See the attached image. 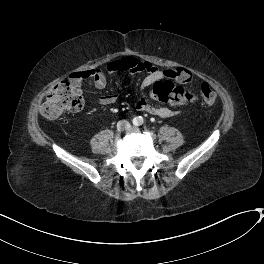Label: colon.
<instances>
[{
    "instance_id": "obj_1",
    "label": "colon",
    "mask_w": 264,
    "mask_h": 264,
    "mask_svg": "<svg viewBox=\"0 0 264 264\" xmlns=\"http://www.w3.org/2000/svg\"><path fill=\"white\" fill-rule=\"evenodd\" d=\"M166 79L159 81L153 90L157 100L170 104H184L191 101L193 95L188 88L174 84L184 82L187 76L179 67L165 70ZM203 101L212 105L216 101L215 91L208 85L201 86ZM85 106V96L80 86V80L70 77L54 86L41 105L42 115L55 120L65 113L78 112Z\"/></svg>"
}]
</instances>
